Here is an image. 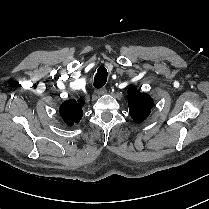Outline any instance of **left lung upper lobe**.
Returning a JSON list of instances; mask_svg holds the SVG:
<instances>
[{
    "label": "left lung upper lobe",
    "instance_id": "5c2ea615",
    "mask_svg": "<svg viewBox=\"0 0 209 209\" xmlns=\"http://www.w3.org/2000/svg\"><path fill=\"white\" fill-rule=\"evenodd\" d=\"M129 113L136 123L144 121L151 112L154 102L147 93H140L135 87L128 89Z\"/></svg>",
    "mask_w": 209,
    "mask_h": 209
}]
</instances>
